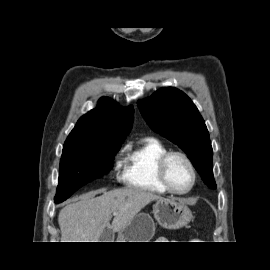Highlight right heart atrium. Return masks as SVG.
<instances>
[{
	"label": "right heart atrium",
	"mask_w": 270,
	"mask_h": 270,
	"mask_svg": "<svg viewBox=\"0 0 270 270\" xmlns=\"http://www.w3.org/2000/svg\"><path fill=\"white\" fill-rule=\"evenodd\" d=\"M121 166H122V163H121L120 161H117V162L115 163V170H116V171H119L120 168H121Z\"/></svg>",
	"instance_id": "obj_1"
}]
</instances>
